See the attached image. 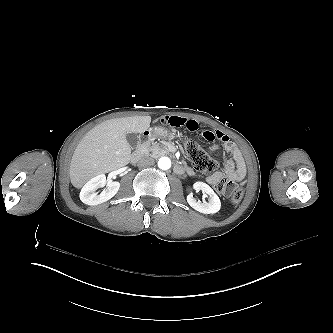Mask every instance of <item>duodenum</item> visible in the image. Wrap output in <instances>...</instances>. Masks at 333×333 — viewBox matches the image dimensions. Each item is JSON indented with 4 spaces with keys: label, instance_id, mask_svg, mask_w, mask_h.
Segmentation results:
<instances>
[{
    "label": "duodenum",
    "instance_id": "1",
    "mask_svg": "<svg viewBox=\"0 0 333 333\" xmlns=\"http://www.w3.org/2000/svg\"><path fill=\"white\" fill-rule=\"evenodd\" d=\"M151 135H152V133L150 130H146L141 134L140 139H139V147L137 150H135L132 153L131 158H130L132 163H136L141 158V156L144 152V148H145L146 144L149 142ZM174 168H175V171L180 174L184 173V172L191 173V170L181 163L175 164Z\"/></svg>",
    "mask_w": 333,
    "mask_h": 333
}]
</instances>
